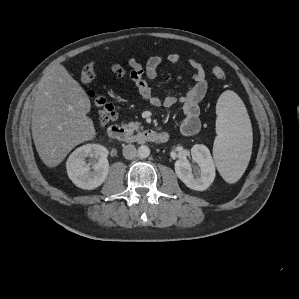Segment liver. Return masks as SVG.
I'll return each mask as SVG.
<instances>
[{
    "mask_svg": "<svg viewBox=\"0 0 299 299\" xmlns=\"http://www.w3.org/2000/svg\"><path fill=\"white\" fill-rule=\"evenodd\" d=\"M90 100L64 66L49 67L35 95L31 130L42 162L58 166L78 144L92 140L96 131Z\"/></svg>",
    "mask_w": 299,
    "mask_h": 299,
    "instance_id": "1",
    "label": "liver"
}]
</instances>
